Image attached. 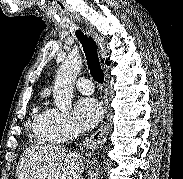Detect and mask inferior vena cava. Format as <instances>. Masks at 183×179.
I'll return each mask as SVG.
<instances>
[{"label":"inferior vena cava","instance_id":"inferior-vena-cava-1","mask_svg":"<svg viewBox=\"0 0 183 179\" xmlns=\"http://www.w3.org/2000/svg\"><path fill=\"white\" fill-rule=\"evenodd\" d=\"M77 136H78V131L73 129L70 133V140H73ZM81 168H83V167H81ZM81 173H82V170L80 169V171L75 174L74 179H83L81 176Z\"/></svg>","mask_w":183,"mask_h":179}]
</instances>
